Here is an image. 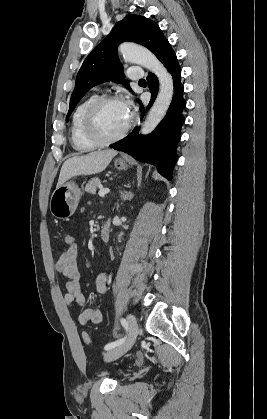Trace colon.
<instances>
[{
	"label": "colon",
	"instance_id": "colon-1",
	"mask_svg": "<svg viewBox=\"0 0 267 419\" xmlns=\"http://www.w3.org/2000/svg\"><path fill=\"white\" fill-rule=\"evenodd\" d=\"M63 242L66 245V248H69L75 244L74 236L71 233H65L63 236ZM83 340L86 344L91 343V338L88 333H83Z\"/></svg>",
	"mask_w": 267,
	"mask_h": 419
}]
</instances>
